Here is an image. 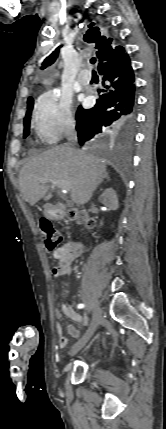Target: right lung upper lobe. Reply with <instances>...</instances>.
Instances as JSON below:
<instances>
[{
    "label": "right lung upper lobe",
    "instance_id": "obj_1",
    "mask_svg": "<svg viewBox=\"0 0 166 429\" xmlns=\"http://www.w3.org/2000/svg\"><path fill=\"white\" fill-rule=\"evenodd\" d=\"M84 40L89 43L96 42V48L98 49L96 55L99 62L102 60H108L111 57L120 56L124 53V49L122 46H116L115 41H113L112 38L102 36L101 33L94 28L88 30V32L84 36ZM60 47L61 46H59L48 57L45 58L42 63L41 69H45L46 67L50 66L55 62L56 58L58 57ZM30 99L31 97L28 98V101Z\"/></svg>",
    "mask_w": 166,
    "mask_h": 429
}]
</instances>
